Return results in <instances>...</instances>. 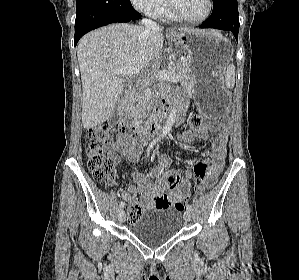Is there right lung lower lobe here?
<instances>
[{
    "mask_svg": "<svg viewBox=\"0 0 299 280\" xmlns=\"http://www.w3.org/2000/svg\"><path fill=\"white\" fill-rule=\"evenodd\" d=\"M140 18L130 0H77L74 44L93 29Z\"/></svg>",
    "mask_w": 299,
    "mask_h": 280,
    "instance_id": "98d812e1",
    "label": "right lung lower lobe"
}]
</instances>
